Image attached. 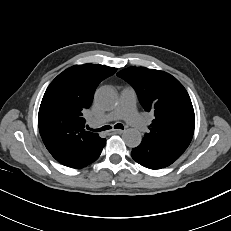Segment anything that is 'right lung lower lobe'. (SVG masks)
Here are the masks:
<instances>
[{
	"label": "right lung lower lobe",
	"mask_w": 231,
	"mask_h": 231,
	"mask_svg": "<svg viewBox=\"0 0 231 231\" xmlns=\"http://www.w3.org/2000/svg\"><path fill=\"white\" fill-rule=\"evenodd\" d=\"M105 142H106V140H104V142L95 151L90 152V154L85 159H83L81 162L76 163L72 166H68V167L82 168V167L89 165L93 161H95L100 156L101 151H102L103 147L105 146Z\"/></svg>",
	"instance_id": "obj_1"
}]
</instances>
